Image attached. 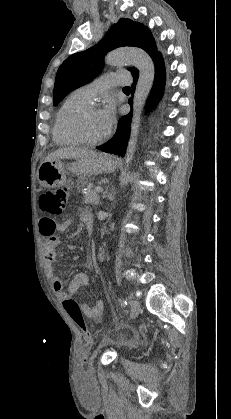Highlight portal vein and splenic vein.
<instances>
[{"label":"portal vein and splenic vein","mask_w":231,"mask_h":419,"mask_svg":"<svg viewBox=\"0 0 231 419\" xmlns=\"http://www.w3.org/2000/svg\"><path fill=\"white\" fill-rule=\"evenodd\" d=\"M96 192L100 193L103 191V188L101 186L96 187Z\"/></svg>","instance_id":"1"}]
</instances>
